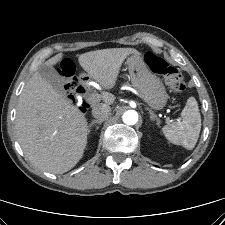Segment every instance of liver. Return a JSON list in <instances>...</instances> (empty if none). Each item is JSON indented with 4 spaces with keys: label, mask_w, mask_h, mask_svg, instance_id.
Instances as JSON below:
<instances>
[{
    "label": "liver",
    "mask_w": 225,
    "mask_h": 225,
    "mask_svg": "<svg viewBox=\"0 0 225 225\" xmlns=\"http://www.w3.org/2000/svg\"><path fill=\"white\" fill-rule=\"evenodd\" d=\"M134 48H110L81 54L78 61L88 76L104 89H112L120 68ZM62 59L58 54L46 61L53 66ZM107 104L114 102L109 93L101 95ZM20 146L29 161L41 170L62 174L82 158L87 144L88 125L84 113L55 90L36 71L26 83L15 120Z\"/></svg>",
    "instance_id": "6515ba94"
}]
</instances>
